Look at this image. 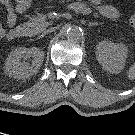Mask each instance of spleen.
Masks as SVG:
<instances>
[{"label": "spleen", "instance_id": "obj_1", "mask_svg": "<svg viewBox=\"0 0 135 135\" xmlns=\"http://www.w3.org/2000/svg\"><path fill=\"white\" fill-rule=\"evenodd\" d=\"M128 79L133 81L135 80V63L131 65L127 73Z\"/></svg>", "mask_w": 135, "mask_h": 135}]
</instances>
